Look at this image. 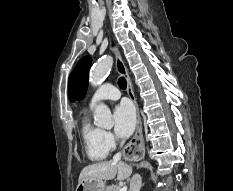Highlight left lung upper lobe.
Here are the masks:
<instances>
[{"mask_svg": "<svg viewBox=\"0 0 233 191\" xmlns=\"http://www.w3.org/2000/svg\"><path fill=\"white\" fill-rule=\"evenodd\" d=\"M91 61V57H83L69 76L68 95L71 102L79 101L85 97Z\"/></svg>", "mask_w": 233, "mask_h": 191, "instance_id": "left-lung-upper-lobe-1", "label": "left lung upper lobe"}]
</instances>
